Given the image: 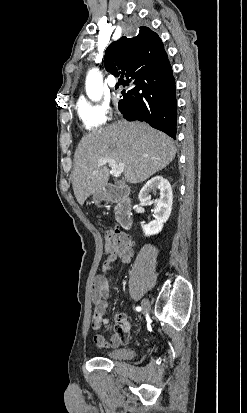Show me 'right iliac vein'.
Segmentation results:
<instances>
[{
    "mask_svg": "<svg viewBox=\"0 0 247 413\" xmlns=\"http://www.w3.org/2000/svg\"><path fill=\"white\" fill-rule=\"evenodd\" d=\"M141 305H142L144 312L148 311L150 308V303L147 299H143L141 302Z\"/></svg>",
    "mask_w": 247,
    "mask_h": 413,
    "instance_id": "1",
    "label": "right iliac vein"
}]
</instances>
